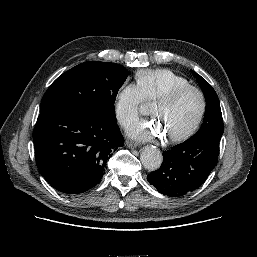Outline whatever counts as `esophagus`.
I'll use <instances>...</instances> for the list:
<instances>
[{"instance_id":"obj_1","label":"esophagus","mask_w":257,"mask_h":257,"mask_svg":"<svg viewBox=\"0 0 257 257\" xmlns=\"http://www.w3.org/2000/svg\"><path fill=\"white\" fill-rule=\"evenodd\" d=\"M125 145L128 147H137L139 143L132 140H126Z\"/></svg>"}]
</instances>
